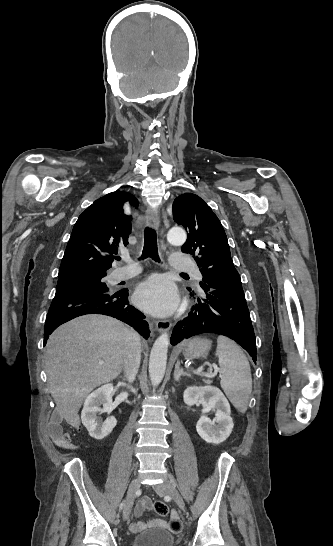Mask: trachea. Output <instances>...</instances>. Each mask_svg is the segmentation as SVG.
Masks as SVG:
<instances>
[{
	"label": "trachea",
	"mask_w": 333,
	"mask_h": 546,
	"mask_svg": "<svg viewBox=\"0 0 333 546\" xmlns=\"http://www.w3.org/2000/svg\"><path fill=\"white\" fill-rule=\"evenodd\" d=\"M148 257L152 258L156 262H160L156 231L152 228L146 227L144 233V247L141 258L145 259ZM117 260H120V257H118Z\"/></svg>",
	"instance_id": "obj_1"
}]
</instances>
